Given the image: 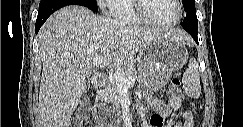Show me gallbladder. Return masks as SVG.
Masks as SVG:
<instances>
[{
    "label": "gallbladder",
    "mask_w": 243,
    "mask_h": 127,
    "mask_svg": "<svg viewBox=\"0 0 243 127\" xmlns=\"http://www.w3.org/2000/svg\"><path fill=\"white\" fill-rule=\"evenodd\" d=\"M89 81L86 83L85 89L87 90V88L89 87Z\"/></svg>",
    "instance_id": "obj_1"
}]
</instances>
